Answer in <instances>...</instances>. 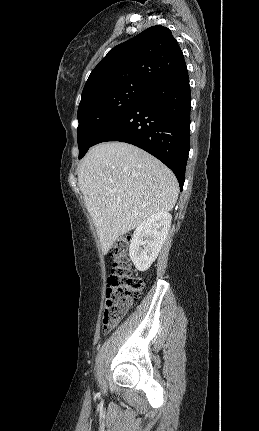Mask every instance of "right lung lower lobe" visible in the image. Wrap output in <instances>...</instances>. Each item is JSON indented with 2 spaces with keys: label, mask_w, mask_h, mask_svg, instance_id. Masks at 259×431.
Returning a JSON list of instances; mask_svg holds the SVG:
<instances>
[{
  "label": "right lung lower lobe",
  "mask_w": 259,
  "mask_h": 431,
  "mask_svg": "<svg viewBox=\"0 0 259 431\" xmlns=\"http://www.w3.org/2000/svg\"><path fill=\"white\" fill-rule=\"evenodd\" d=\"M190 104L186 69L149 88L98 136L94 145L120 141L140 147L174 172L182 190L190 149Z\"/></svg>",
  "instance_id": "98d812e1"
}]
</instances>
